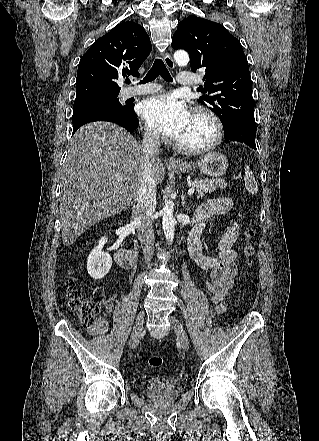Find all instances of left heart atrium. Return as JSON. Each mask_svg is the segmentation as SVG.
Instances as JSON below:
<instances>
[{"mask_svg": "<svg viewBox=\"0 0 319 441\" xmlns=\"http://www.w3.org/2000/svg\"><path fill=\"white\" fill-rule=\"evenodd\" d=\"M140 113L151 128L175 140L182 135L192 117L187 106L171 94L147 98L141 103Z\"/></svg>", "mask_w": 319, "mask_h": 441, "instance_id": "39dd6f15", "label": "left heart atrium"}]
</instances>
